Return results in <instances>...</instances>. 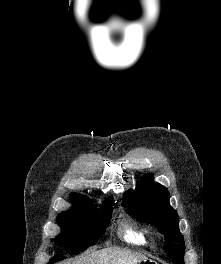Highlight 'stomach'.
Wrapping results in <instances>:
<instances>
[{
  "instance_id": "obj_1",
  "label": "stomach",
  "mask_w": 221,
  "mask_h": 264,
  "mask_svg": "<svg viewBox=\"0 0 221 264\" xmlns=\"http://www.w3.org/2000/svg\"><path fill=\"white\" fill-rule=\"evenodd\" d=\"M137 264H158V262L155 260L147 258V259H144V260L138 262Z\"/></svg>"
}]
</instances>
